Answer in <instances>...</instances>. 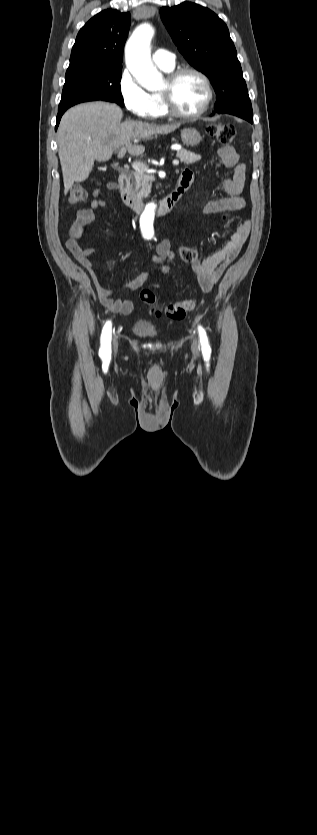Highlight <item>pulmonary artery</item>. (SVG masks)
I'll use <instances>...</instances> for the list:
<instances>
[{
    "instance_id": "1",
    "label": "pulmonary artery",
    "mask_w": 317,
    "mask_h": 835,
    "mask_svg": "<svg viewBox=\"0 0 317 835\" xmlns=\"http://www.w3.org/2000/svg\"><path fill=\"white\" fill-rule=\"evenodd\" d=\"M152 60L161 69H173L175 65L174 54L161 48L154 51Z\"/></svg>"
}]
</instances>
